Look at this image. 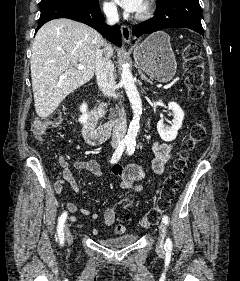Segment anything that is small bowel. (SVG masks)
<instances>
[{
  "instance_id": "1",
  "label": "small bowel",
  "mask_w": 240,
  "mask_h": 281,
  "mask_svg": "<svg viewBox=\"0 0 240 281\" xmlns=\"http://www.w3.org/2000/svg\"><path fill=\"white\" fill-rule=\"evenodd\" d=\"M175 143H165V142H154L152 144V153L154 155L152 161V169L155 174H162L165 169L166 163L169 161L173 154ZM59 163L62 167V179L67 182L74 192L78 193L80 191L77 181L75 180L71 167L69 163L64 158H59ZM74 167L77 169L87 170L95 176H102L103 171L100 165L95 160H82L76 159L74 161ZM112 173L121 179L120 187L123 190H129L136 193H141L143 191V186L140 183L144 177L145 173L143 169L137 164H130L127 166L113 165ZM54 189L57 193L62 191V181L57 180L54 183ZM67 210L71 213L80 212L85 216H90L92 219H97L99 215L96 212H93L87 208L79 207L74 203L66 204ZM72 221H76L75 216L71 217ZM115 212L113 207L107 208L103 213V222L107 226H112L115 224ZM83 227L82 224L79 225ZM126 231V228L123 225H116L114 227L115 234H123ZM93 233L96 235L98 231L93 229Z\"/></svg>"
}]
</instances>
